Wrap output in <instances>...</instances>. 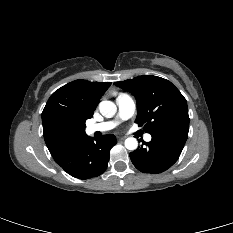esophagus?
I'll return each mask as SVG.
<instances>
[{"label": "esophagus", "mask_w": 233, "mask_h": 233, "mask_svg": "<svg viewBox=\"0 0 233 233\" xmlns=\"http://www.w3.org/2000/svg\"><path fill=\"white\" fill-rule=\"evenodd\" d=\"M124 139V137H118V141H123Z\"/></svg>", "instance_id": "1"}]
</instances>
